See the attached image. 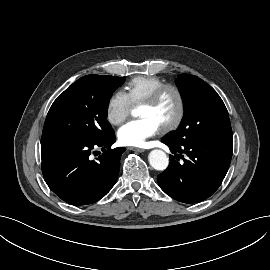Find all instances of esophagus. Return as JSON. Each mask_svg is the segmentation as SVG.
Returning a JSON list of instances; mask_svg holds the SVG:
<instances>
[{"label": "esophagus", "mask_w": 270, "mask_h": 270, "mask_svg": "<svg viewBox=\"0 0 270 270\" xmlns=\"http://www.w3.org/2000/svg\"><path fill=\"white\" fill-rule=\"evenodd\" d=\"M129 149L135 152H140V153L145 151V149L143 148H136V147H130Z\"/></svg>", "instance_id": "34e87169"}]
</instances>
